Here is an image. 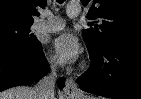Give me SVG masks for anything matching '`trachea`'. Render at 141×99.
<instances>
[{"instance_id":"trachea-1","label":"trachea","mask_w":141,"mask_h":99,"mask_svg":"<svg viewBox=\"0 0 141 99\" xmlns=\"http://www.w3.org/2000/svg\"><path fill=\"white\" fill-rule=\"evenodd\" d=\"M63 2H64V0H58V3H60V4L63 3Z\"/></svg>"}]
</instances>
